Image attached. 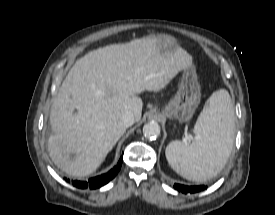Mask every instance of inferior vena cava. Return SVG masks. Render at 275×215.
Returning a JSON list of instances; mask_svg holds the SVG:
<instances>
[{
    "instance_id": "inferior-vena-cava-1",
    "label": "inferior vena cava",
    "mask_w": 275,
    "mask_h": 215,
    "mask_svg": "<svg viewBox=\"0 0 275 215\" xmlns=\"http://www.w3.org/2000/svg\"><path fill=\"white\" fill-rule=\"evenodd\" d=\"M134 124V116L133 113L127 111L119 120V125L122 127H130Z\"/></svg>"
}]
</instances>
